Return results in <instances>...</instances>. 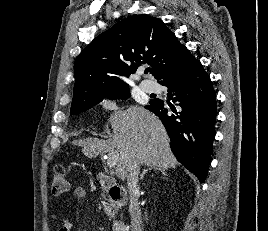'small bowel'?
Instances as JSON below:
<instances>
[{
	"instance_id": "obj_1",
	"label": "small bowel",
	"mask_w": 268,
	"mask_h": 231,
	"mask_svg": "<svg viewBox=\"0 0 268 231\" xmlns=\"http://www.w3.org/2000/svg\"><path fill=\"white\" fill-rule=\"evenodd\" d=\"M86 196V190L82 186L72 188L71 197L75 200H83ZM59 231H72V223L69 218L63 217L60 220Z\"/></svg>"
}]
</instances>
